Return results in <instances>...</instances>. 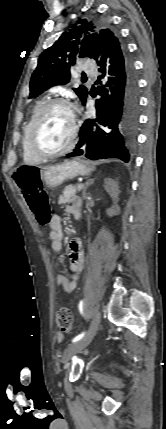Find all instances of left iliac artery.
Masks as SVG:
<instances>
[{
  "instance_id": "1",
  "label": "left iliac artery",
  "mask_w": 166,
  "mask_h": 429,
  "mask_svg": "<svg viewBox=\"0 0 166 429\" xmlns=\"http://www.w3.org/2000/svg\"><path fill=\"white\" fill-rule=\"evenodd\" d=\"M79 310H80V313L83 314V301L82 300L79 303ZM84 335H85V332L80 333L79 335H77L76 337L73 338L72 342L79 341L80 339H82L84 337Z\"/></svg>"
}]
</instances>
